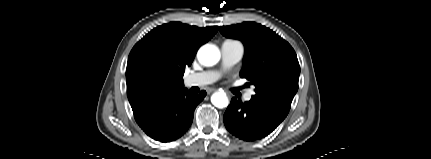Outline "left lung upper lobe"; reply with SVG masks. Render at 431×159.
Masks as SVG:
<instances>
[{
    "mask_svg": "<svg viewBox=\"0 0 431 159\" xmlns=\"http://www.w3.org/2000/svg\"><path fill=\"white\" fill-rule=\"evenodd\" d=\"M222 35L245 46L240 76L255 86L253 98L270 100L290 109L298 90L300 66L297 55L278 34L255 22L221 26Z\"/></svg>",
    "mask_w": 431,
    "mask_h": 159,
    "instance_id": "obj_1",
    "label": "left lung upper lobe"
}]
</instances>
